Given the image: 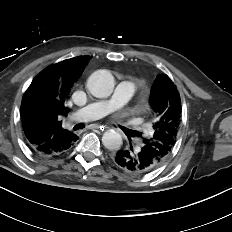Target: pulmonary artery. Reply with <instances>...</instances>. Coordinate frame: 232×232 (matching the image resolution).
I'll list each match as a JSON object with an SVG mask.
<instances>
[{
	"instance_id": "1",
	"label": "pulmonary artery",
	"mask_w": 232,
	"mask_h": 232,
	"mask_svg": "<svg viewBox=\"0 0 232 232\" xmlns=\"http://www.w3.org/2000/svg\"><path fill=\"white\" fill-rule=\"evenodd\" d=\"M135 93V85L130 81L118 83L113 95L109 99L91 102L74 112L70 120L88 121L107 115L128 102Z\"/></svg>"
}]
</instances>
